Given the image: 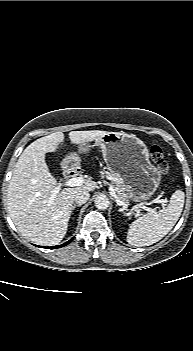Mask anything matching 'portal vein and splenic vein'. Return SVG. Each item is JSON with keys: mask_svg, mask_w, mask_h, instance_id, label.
I'll return each mask as SVG.
<instances>
[{"mask_svg": "<svg viewBox=\"0 0 193 351\" xmlns=\"http://www.w3.org/2000/svg\"><path fill=\"white\" fill-rule=\"evenodd\" d=\"M84 183V179L82 177H73L68 179L67 181H65V183L63 184V186L66 187H75V186H81ZM60 186H62V184H60L59 186H57L54 190H53V197L56 196V194L60 191ZM109 191H110V195L115 198V201L118 205L123 206V207H127L128 205L121 201L120 199H118L115 189L113 188V186L111 185L109 187ZM155 203H161L162 205H165L164 203H166V200L160 199V200H155ZM141 208L146 209L147 211H151V208L142 206Z\"/></svg>", "mask_w": 193, "mask_h": 351, "instance_id": "obj_1", "label": "portal vein and splenic vein"}]
</instances>
